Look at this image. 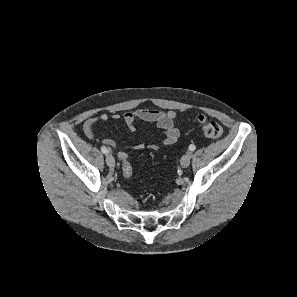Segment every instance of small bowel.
<instances>
[{
  "instance_id": "small-bowel-1",
  "label": "small bowel",
  "mask_w": 297,
  "mask_h": 297,
  "mask_svg": "<svg viewBox=\"0 0 297 297\" xmlns=\"http://www.w3.org/2000/svg\"><path fill=\"white\" fill-rule=\"evenodd\" d=\"M120 115L117 113H101L96 116L88 118L84 123V133L90 140H97L99 136L96 134L95 127L99 121H108L110 119L119 120ZM126 126L132 132L136 130V124L140 121L148 122L156 125L164 133L163 143L165 145H173L179 138V131L174 125L175 113L173 111L165 112L154 109H137L131 112H127L122 116ZM102 143L108 148H114L117 146L115 140L103 137L100 138ZM135 151L143 150L147 148L151 151L158 149L157 144L138 143L130 147Z\"/></svg>"
}]
</instances>
